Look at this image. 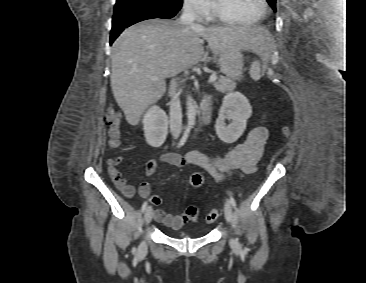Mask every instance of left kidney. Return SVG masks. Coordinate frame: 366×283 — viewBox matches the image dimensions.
I'll return each instance as SVG.
<instances>
[{
  "mask_svg": "<svg viewBox=\"0 0 366 283\" xmlns=\"http://www.w3.org/2000/svg\"><path fill=\"white\" fill-rule=\"evenodd\" d=\"M252 114L248 99L241 93H228L216 120V134L225 143L237 141L246 129L247 120ZM226 120L231 121L226 125Z\"/></svg>",
  "mask_w": 366,
  "mask_h": 283,
  "instance_id": "obj_1",
  "label": "left kidney"
}]
</instances>
